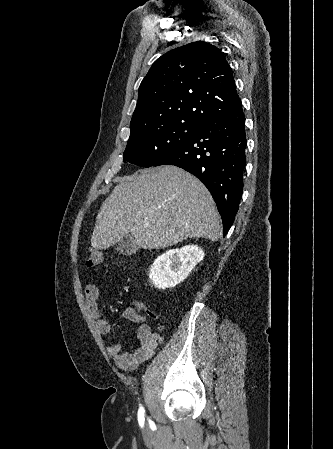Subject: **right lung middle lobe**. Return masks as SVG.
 I'll return each mask as SVG.
<instances>
[{
    "label": "right lung middle lobe",
    "instance_id": "right-lung-middle-lobe-1",
    "mask_svg": "<svg viewBox=\"0 0 333 449\" xmlns=\"http://www.w3.org/2000/svg\"><path fill=\"white\" fill-rule=\"evenodd\" d=\"M201 124L173 122L130 138L123 162L151 167L191 138Z\"/></svg>",
    "mask_w": 333,
    "mask_h": 449
}]
</instances>
